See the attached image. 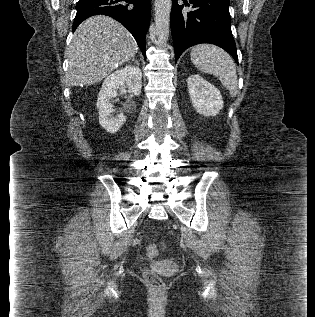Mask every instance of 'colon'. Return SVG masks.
Segmentation results:
<instances>
[{"mask_svg":"<svg viewBox=\"0 0 315 317\" xmlns=\"http://www.w3.org/2000/svg\"><path fill=\"white\" fill-rule=\"evenodd\" d=\"M159 246H157L154 243H149L146 246V254L149 257H155L159 254ZM144 278L146 280V282L154 289L157 291H160L163 289L164 284L163 281L161 280V278L152 270L150 269H145L144 270Z\"/></svg>","mask_w":315,"mask_h":317,"instance_id":"obj_1","label":"colon"}]
</instances>
